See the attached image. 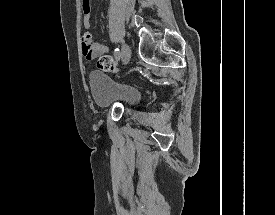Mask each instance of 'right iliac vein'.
<instances>
[{
	"label": "right iliac vein",
	"mask_w": 275,
	"mask_h": 215,
	"mask_svg": "<svg viewBox=\"0 0 275 215\" xmlns=\"http://www.w3.org/2000/svg\"><path fill=\"white\" fill-rule=\"evenodd\" d=\"M131 57V50L127 44H124L121 52V60L123 64H127Z\"/></svg>",
	"instance_id": "right-iliac-vein-1"
}]
</instances>
